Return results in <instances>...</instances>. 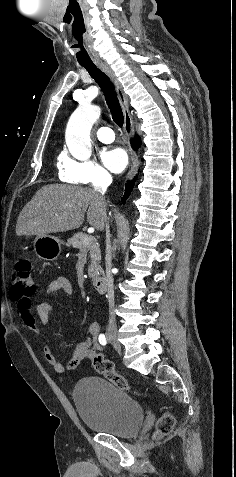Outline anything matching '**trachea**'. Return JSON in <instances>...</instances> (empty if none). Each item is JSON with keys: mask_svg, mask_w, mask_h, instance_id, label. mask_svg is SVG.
Wrapping results in <instances>:
<instances>
[{"mask_svg": "<svg viewBox=\"0 0 236 477\" xmlns=\"http://www.w3.org/2000/svg\"><path fill=\"white\" fill-rule=\"evenodd\" d=\"M80 65L84 67L90 76L100 85L104 93L106 103L110 109L113 121L116 123V125L122 127L124 123L123 112L109 77L93 63H80Z\"/></svg>", "mask_w": 236, "mask_h": 477, "instance_id": "3493384b", "label": "trachea"}]
</instances>
